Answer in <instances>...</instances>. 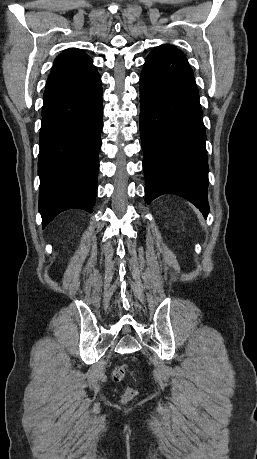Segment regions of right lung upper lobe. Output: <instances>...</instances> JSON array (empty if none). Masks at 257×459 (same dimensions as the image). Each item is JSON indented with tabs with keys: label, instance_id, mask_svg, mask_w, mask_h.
<instances>
[{
	"label": "right lung upper lobe",
	"instance_id": "1",
	"mask_svg": "<svg viewBox=\"0 0 257 459\" xmlns=\"http://www.w3.org/2000/svg\"><path fill=\"white\" fill-rule=\"evenodd\" d=\"M96 73L97 70L91 58L84 51L70 48L55 59L46 89L78 83Z\"/></svg>",
	"mask_w": 257,
	"mask_h": 459
}]
</instances>
